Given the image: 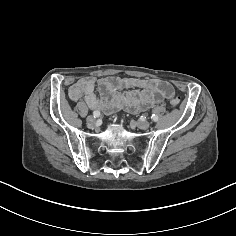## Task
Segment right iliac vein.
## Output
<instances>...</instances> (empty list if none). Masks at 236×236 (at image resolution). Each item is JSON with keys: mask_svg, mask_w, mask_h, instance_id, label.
<instances>
[{"mask_svg": "<svg viewBox=\"0 0 236 236\" xmlns=\"http://www.w3.org/2000/svg\"><path fill=\"white\" fill-rule=\"evenodd\" d=\"M86 122H87L88 125H94V123H95V118H94L93 116H88V117L86 118Z\"/></svg>", "mask_w": 236, "mask_h": 236, "instance_id": "63e3f726", "label": "right iliac vein"}]
</instances>
